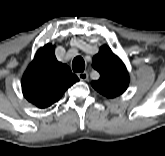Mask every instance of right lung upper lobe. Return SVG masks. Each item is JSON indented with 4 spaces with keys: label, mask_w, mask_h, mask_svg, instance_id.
<instances>
[{
    "label": "right lung upper lobe",
    "mask_w": 165,
    "mask_h": 156,
    "mask_svg": "<svg viewBox=\"0 0 165 156\" xmlns=\"http://www.w3.org/2000/svg\"><path fill=\"white\" fill-rule=\"evenodd\" d=\"M79 79L55 57L54 47L46 44L35 55L22 78L24 97L39 108L58 101Z\"/></svg>",
    "instance_id": "right-lung-upper-lobe-1"
}]
</instances>
